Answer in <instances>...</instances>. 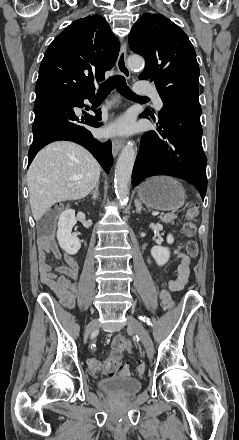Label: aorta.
Returning a JSON list of instances; mask_svg holds the SVG:
<instances>
[{
  "label": "aorta",
  "instance_id": "obj_1",
  "mask_svg": "<svg viewBox=\"0 0 239 440\" xmlns=\"http://www.w3.org/2000/svg\"><path fill=\"white\" fill-rule=\"evenodd\" d=\"M129 68H144V60L141 56H130ZM137 148L133 142L124 146L115 168V192L120 204H127L130 192L131 174L136 160Z\"/></svg>",
  "mask_w": 239,
  "mask_h": 440
}]
</instances>
